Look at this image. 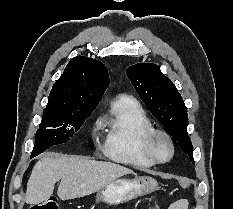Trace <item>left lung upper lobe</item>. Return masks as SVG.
Here are the masks:
<instances>
[{
	"label": "left lung upper lobe",
	"instance_id": "1",
	"mask_svg": "<svg viewBox=\"0 0 233 209\" xmlns=\"http://www.w3.org/2000/svg\"><path fill=\"white\" fill-rule=\"evenodd\" d=\"M126 74L150 112L170 131L194 164L193 146L187 133V108L173 82L162 74L159 66L151 63L132 65Z\"/></svg>",
	"mask_w": 233,
	"mask_h": 209
}]
</instances>
